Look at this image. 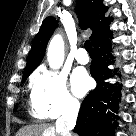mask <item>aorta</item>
<instances>
[{"instance_id": "762f6f07", "label": "aorta", "mask_w": 136, "mask_h": 136, "mask_svg": "<svg viewBox=\"0 0 136 136\" xmlns=\"http://www.w3.org/2000/svg\"><path fill=\"white\" fill-rule=\"evenodd\" d=\"M64 42L61 35H55L47 49V60L50 68L57 70L59 69L64 61Z\"/></svg>"}]
</instances>
